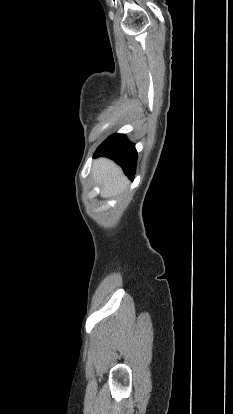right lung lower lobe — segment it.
<instances>
[{
  "mask_svg": "<svg viewBox=\"0 0 233 414\" xmlns=\"http://www.w3.org/2000/svg\"><path fill=\"white\" fill-rule=\"evenodd\" d=\"M100 156L114 160L131 180L134 179L137 151L134 144L129 142L124 134H114L108 137L94 154V157Z\"/></svg>",
  "mask_w": 233,
  "mask_h": 414,
  "instance_id": "right-lung-lower-lobe-1",
  "label": "right lung lower lobe"
}]
</instances>
